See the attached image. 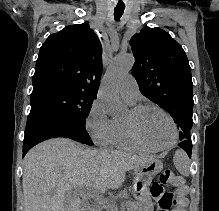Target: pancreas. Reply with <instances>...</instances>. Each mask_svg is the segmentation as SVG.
<instances>
[{"label": "pancreas", "instance_id": "obj_1", "mask_svg": "<svg viewBox=\"0 0 219 211\" xmlns=\"http://www.w3.org/2000/svg\"><path fill=\"white\" fill-rule=\"evenodd\" d=\"M107 203L109 204L110 202L108 201ZM116 204L122 207L125 205L124 211H137L140 209L139 202H135V200H117ZM105 209H107V211H118V207H116L115 203L105 205Z\"/></svg>", "mask_w": 219, "mask_h": 211}]
</instances>
